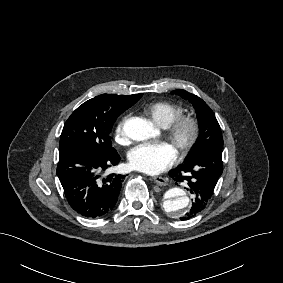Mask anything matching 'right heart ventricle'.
<instances>
[{
    "mask_svg": "<svg viewBox=\"0 0 283 283\" xmlns=\"http://www.w3.org/2000/svg\"><path fill=\"white\" fill-rule=\"evenodd\" d=\"M146 112L155 124L167 128L175 119L182 116L184 108L172 101L158 100L148 105Z\"/></svg>",
    "mask_w": 283,
    "mask_h": 283,
    "instance_id": "right-heart-ventricle-1",
    "label": "right heart ventricle"
}]
</instances>
